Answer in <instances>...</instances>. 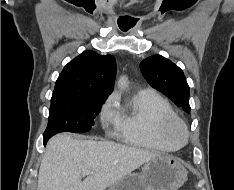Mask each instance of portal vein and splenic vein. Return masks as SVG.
Instances as JSON below:
<instances>
[{
    "instance_id": "portal-vein-and-splenic-vein-1",
    "label": "portal vein and splenic vein",
    "mask_w": 234,
    "mask_h": 190,
    "mask_svg": "<svg viewBox=\"0 0 234 190\" xmlns=\"http://www.w3.org/2000/svg\"><path fill=\"white\" fill-rule=\"evenodd\" d=\"M88 174H90V171L88 170L83 171V175H88Z\"/></svg>"
}]
</instances>
